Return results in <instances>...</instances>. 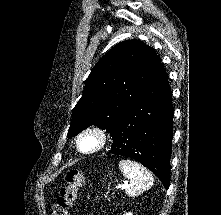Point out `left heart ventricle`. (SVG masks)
Listing matches in <instances>:
<instances>
[{
    "label": "left heart ventricle",
    "mask_w": 221,
    "mask_h": 215,
    "mask_svg": "<svg viewBox=\"0 0 221 215\" xmlns=\"http://www.w3.org/2000/svg\"><path fill=\"white\" fill-rule=\"evenodd\" d=\"M96 144V140L93 137H86L82 141V148L84 149H90Z\"/></svg>",
    "instance_id": "obj_1"
}]
</instances>
